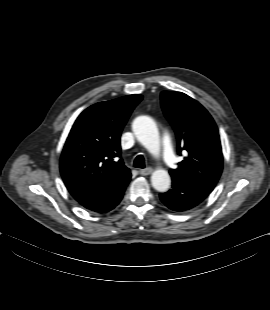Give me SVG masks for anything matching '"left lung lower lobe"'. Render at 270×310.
<instances>
[{"mask_svg":"<svg viewBox=\"0 0 270 310\" xmlns=\"http://www.w3.org/2000/svg\"><path fill=\"white\" fill-rule=\"evenodd\" d=\"M213 189L212 186L188 182L180 177L172 176V189L161 193L160 198L171 210L182 212L199 205Z\"/></svg>","mask_w":270,"mask_h":310,"instance_id":"1","label":"left lung lower lobe"}]
</instances>
